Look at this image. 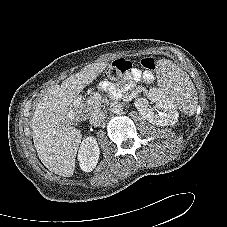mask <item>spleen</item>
Returning <instances> with one entry per match:
<instances>
[{
    "label": "spleen",
    "mask_w": 227,
    "mask_h": 227,
    "mask_svg": "<svg viewBox=\"0 0 227 227\" xmlns=\"http://www.w3.org/2000/svg\"><path fill=\"white\" fill-rule=\"evenodd\" d=\"M157 79L160 91L176 108L193 115L197 106L196 89L187 74L172 61L162 59L158 63Z\"/></svg>",
    "instance_id": "3e777b00"
}]
</instances>
